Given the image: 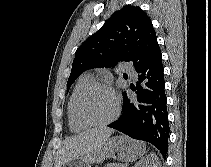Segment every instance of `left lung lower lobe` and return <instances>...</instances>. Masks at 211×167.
Returning <instances> with one entry per match:
<instances>
[{"label": "left lung lower lobe", "instance_id": "obj_1", "mask_svg": "<svg viewBox=\"0 0 211 167\" xmlns=\"http://www.w3.org/2000/svg\"><path fill=\"white\" fill-rule=\"evenodd\" d=\"M135 97L124 93L123 114L109 127L138 140L153 144L166 157L170 133L162 55L159 46L139 67Z\"/></svg>", "mask_w": 211, "mask_h": 167}]
</instances>
